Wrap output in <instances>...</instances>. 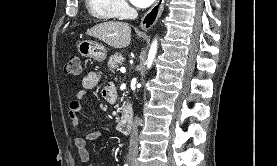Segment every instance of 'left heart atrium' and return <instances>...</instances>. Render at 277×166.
Masks as SVG:
<instances>
[{"mask_svg":"<svg viewBox=\"0 0 277 166\" xmlns=\"http://www.w3.org/2000/svg\"><path fill=\"white\" fill-rule=\"evenodd\" d=\"M155 0H130V2L139 8H145L151 5Z\"/></svg>","mask_w":277,"mask_h":166,"instance_id":"1","label":"left heart atrium"}]
</instances>
